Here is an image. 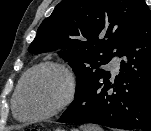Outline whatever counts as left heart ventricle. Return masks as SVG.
Wrapping results in <instances>:
<instances>
[{
    "instance_id": "left-heart-ventricle-1",
    "label": "left heart ventricle",
    "mask_w": 151,
    "mask_h": 131,
    "mask_svg": "<svg viewBox=\"0 0 151 131\" xmlns=\"http://www.w3.org/2000/svg\"><path fill=\"white\" fill-rule=\"evenodd\" d=\"M65 92V80L55 70L35 73L27 81L19 99V113L32 116L45 113L55 107Z\"/></svg>"
}]
</instances>
